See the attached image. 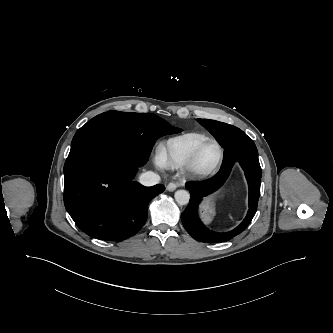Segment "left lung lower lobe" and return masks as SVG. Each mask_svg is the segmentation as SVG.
<instances>
[{"label":"left lung lower lobe","mask_w":333,"mask_h":333,"mask_svg":"<svg viewBox=\"0 0 333 333\" xmlns=\"http://www.w3.org/2000/svg\"><path fill=\"white\" fill-rule=\"evenodd\" d=\"M239 162L245 172L249 186V210L239 226L229 232L218 233L209 230L200 221L197 210L201 198L221 188L229 175L233 165ZM261 167L258 151L254 142L243 132L232 137L224 148V161L217 174L209 179L188 182L187 189L191 193L188 206L181 214L182 223L187 232L197 241L218 243L226 242L243 232L253 219L260 196Z\"/></svg>","instance_id":"1"}]
</instances>
